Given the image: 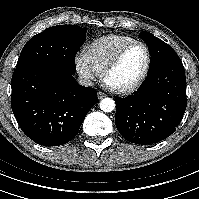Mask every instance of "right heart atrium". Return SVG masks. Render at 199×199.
Returning a JSON list of instances; mask_svg holds the SVG:
<instances>
[{
    "label": "right heart atrium",
    "mask_w": 199,
    "mask_h": 199,
    "mask_svg": "<svg viewBox=\"0 0 199 199\" xmlns=\"http://www.w3.org/2000/svg\"><path fill=\"white\" fill-rule=\"evenodd\" d=\"M77 72L87 84L95 82L102 71L95 65L87 50L79 51L74 59Z\"/></svg>",
    "instance_id": "right-heart-atrium-1"
}]
</instances>
